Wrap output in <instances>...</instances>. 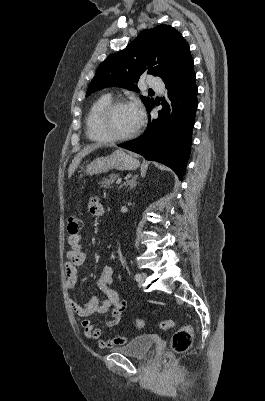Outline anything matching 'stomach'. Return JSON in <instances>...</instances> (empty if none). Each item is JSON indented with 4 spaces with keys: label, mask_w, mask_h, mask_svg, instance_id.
Segmentation results:
<instances>
[{
    "label": "stomach",
    "mask_w": 265,
    "mask_h": 401,
    "mask_svg": "<svg viewBox=\"0 0 265 401\" xmlns=\"http://www.w3.org/2000/svg\"><path fill=\"white\" fill-rule=\"evenodd\" d=\"M139 166V160L132 154H127L122 148H117L112 154L108 156H97L92 162H89L85 168L86 174H101V172H108L111 168L117 170H136Z\"/></svg>",
    "instance_id": "stomach-1"
}]
</instances>
